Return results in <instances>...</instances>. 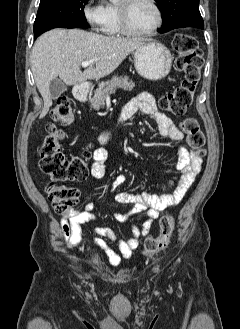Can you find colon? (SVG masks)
<instances>
[{"instance_id": "colon-1", "label": "colon", "mask_w": 240, "mask_h": 329, "mask_svg": "<svg viewBox=\"0 0 240 329\" xmlns=\"http://www.w3.org/2000/svg\"><path fill=\"white\" fill-rule=\"evenodd\" d=\"M173 46L178 54L176 65L183 77L174 90L160 99V105L173 115L182 116L192 104L204 56L197 40L189 34H176ZM51 116L54 123L64 126L71 125L75 121V112L68 96L63 95L57 99ZM181 128L186 134L187 144L198 156H203L205 137L198 121L195 118H185L181 122ZM47 130L48 135L40 148L39 165L41 170L51 178L52 183L47 186L46 192L55 212L59 215H67L78 202L79 193L76 189L56 183L86 179L89 174L87 162L90 153L86 151L79 156L66 157L59 146L62 133L54 124H49ZM174 226L173 216L162 217L159 234L145 241L143 254L151 256L166 248L170 243Z\"/></svg>"}]
</instances>
